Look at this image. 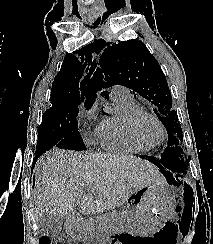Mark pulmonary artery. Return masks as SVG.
Segmentation results:
<instances>
[{"label": "pulmonary artery", "instance_id": "obj_1", "mask_svg": "<svg viewBox=\"0 0 213 244\" xmlns=\"http://www.w3.org/2000/svg\"><path fill=\"white\" fill-rule=\"evenodd\" d=\"M110 96H111V98H117V97L131 98V97H133L132 94L130 93V90L121 85H115V86L111 87Z\"/></svg>", "mask_w": 213, "mask_h": 244}]
</instances>
